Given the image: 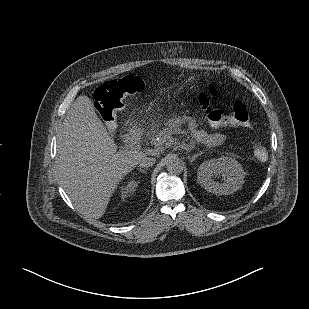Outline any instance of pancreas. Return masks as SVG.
<instances>
[{
  "label": "pancreas",
  "instance_id": "pancreas-1",
  "mask_svg": "<svg viewBox=\"0 0 309 309\" xmlns=\"http://www.w3.org/2000/svg\"><path fill=\"white\" fill-rule=\"evenodd\" d=\"M172 132H173V130L170 129V128H164L163 130H159L158 128L152 129L147 134V141H149V144L155 146V144L157 142V137H159V139L167 140L171 136ZM161 145H163V144H161Z\"/></svg>",
  "mask_w": 309,
  "mask_h": 309
}]
</instances>
